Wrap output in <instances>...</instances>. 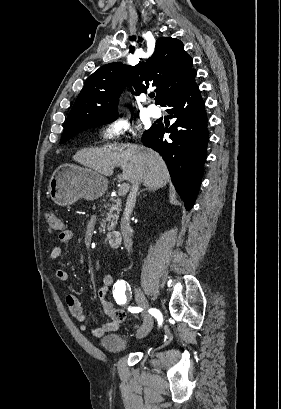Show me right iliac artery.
Instances as JSON below:
<instances>
[{"label": "right iliac artery", "mask_w": 281, "mask_h": 409, "mask_svg": "<svg viewBox=\"0 0 281 409\" xmlns=\"http://www.w3.org/2000/svg\"><path fill=\"white\" fill-rule=\"evenodd\" d=\"M113 297L119 305L126 304L132 297L131 287L124 280H117L113 287ZM150 314L157 318L159 325L162 323V315L156 309H150Z\"/></svg>", "instance_id": "82829eb1"}]
</instances>
